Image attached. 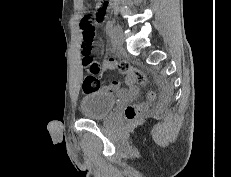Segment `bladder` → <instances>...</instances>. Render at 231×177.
Returning <instances> with one entry per match:
<instances>
[{"mask_svg":"<svg viewBox=\"0 0 231 177\" xmlns=\"http://www.w3.org/2000/svg\"><path fill=\"white\" fill-rule=\"evenodd\" d=\"M116 104V97L106 91H93L85 95L80 102L83 118L101 120L106 118Z\"/></svg>","mask_w":231,"mask_h":177,"instance_id":"1","label":"bladder"}]
</instances>
